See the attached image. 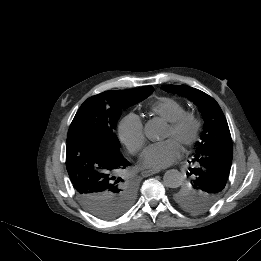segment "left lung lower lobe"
<instances>
[{
    "mask_svg": "<svg viewBox=\"0 0 261 261\" xmlns=\"http://www.w3.org/2000/svg\"><path fill=\"white\" fill-rule=\"evenodd\" d=\"M193 168H190V172L192 171ZM201 170V169H200ZM198 170L196 173L198 174L196 177L197 178H200V177H203L204 175H206V171L204 170Z\"/></svg>",
    "mask_w": 261,
    "mask_h": 261,
    "instance_id": "left-lung-lower-lobe-1",
    "label": "left lung lower lobe"
}]
</instances>
